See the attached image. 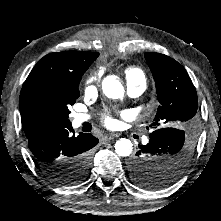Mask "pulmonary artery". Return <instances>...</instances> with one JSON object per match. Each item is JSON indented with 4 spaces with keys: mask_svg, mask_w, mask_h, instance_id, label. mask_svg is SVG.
Segmentation results:
<instances>
[{
    "mask_svg": "<svg viewBox=\"0 0 221 221\" xmlns=\"http://www.w3.org/2000/svg\"><path fill=\"white\" fill-rule=\"evenodd\" d=\"M146 89V85L141 82H131L127 85V93L130 97L137 98L141 96ZM89 116L86 114H76L73 117V125L75 127L80 126L83 122L89 120Z\"/></svg>",
    "mask_w": 221,
    "mask_h": 221,
    "instance_id": "pulmonary-artery-1",
    "label": "pulmonary artery"
}]
</instances>
